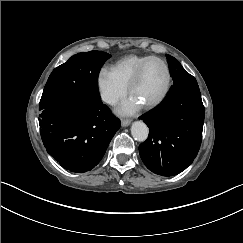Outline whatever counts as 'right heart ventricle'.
Returning a JSON list of instances; mask_svg holds the SVG:
<instances>
[{
    "instance_id": "e07e8e85",
    "label": "right heart ventricle",
    "mask_w": 243,
    "mask_h": 243,
    "mask_svg": "<svg viewBox=\"0 0 243 243\" xmlns=\"http://www.w3.org/2000/svg\"><path fill=\"white\" fill-rule=\"evenodd\" d=\"M154 57L150 54H129L121 59L115 61L111 67L114 70L118 81L127 87L128 82L138 69L139 65L149 59Z\"/></svg>"
}]
</instances>
